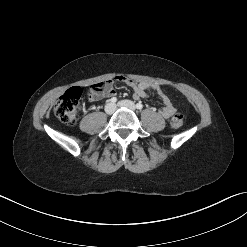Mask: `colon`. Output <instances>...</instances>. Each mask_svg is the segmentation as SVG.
Masks as SVG:
<instances>
[{
	"label": "colon",
	"instance_id": "colon-1",
	"mask_svg": "<svg viewBox=\"0 0 247 247\" xmlns=\"http://www.w3.org/2000/svg\"><path fill=\"white\" fill-rule=\"evenodd\" d=\"M108 85V81L92 85L89 94L94 95L102 92ZM82 91L78 87H73L67 90L56 102L54 113L56 117L66 125H73L77 119L78 110L80 107V98ZM184 122V116L181 113H176L170 122L173 129H179Z\"/></svg>",
	"mask_w": 247,
	"mask_h": 247
}]
</instances>
